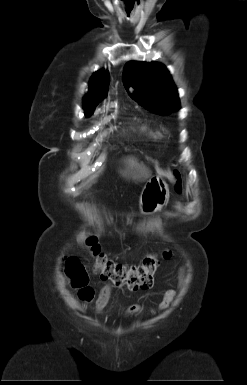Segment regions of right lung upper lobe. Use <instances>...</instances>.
<instances>
[{
	"instance_id": "1",
	"label": "right lung upper lobe",
	"mask_w": 247,
	"mask_h": 385,
	"mask_svg": "<svg viewBox=\"0 0 247 385\" xmlns=\"http://www.w3.org/2000/svg\"><path fill=\"white\" fill-rule=\"evenodd\" d=\"M109 84V74L104 70L97 71L90 80V90L84 99L87 112L96 105L99 99L104 97L105 89Z\"/></svg>"
}]
</instances>
